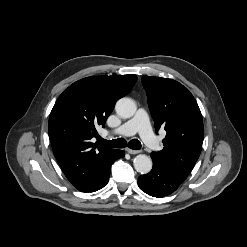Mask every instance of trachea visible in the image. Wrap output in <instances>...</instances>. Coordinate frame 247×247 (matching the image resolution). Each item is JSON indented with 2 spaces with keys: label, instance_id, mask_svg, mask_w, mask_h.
<instances>
[{
  "label": "trachea",
  "instance_id": "1",
  "mask_svg": "<svg viewBox=\"0 0 247 247\" xmlns=\"http://www.w3.org/2000/svg\"><path fill=\"white\" fill-rule=\"evenodd\" d=\"M99 143L107 147H110V148H125L127 146V142L123 138H118V139L109 140V141L103 138H99ZM128 147L133 150H139L141 149V143L137 139H132L128 143Z\"/></svg>",
  "mask_w": 247,
  "mask_h": 247
}]
</instances>
